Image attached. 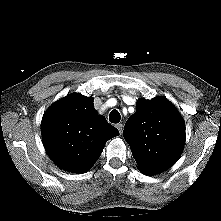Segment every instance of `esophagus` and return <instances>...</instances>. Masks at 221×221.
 I'll return each instance as SVG.
<instances>
[{
  "mask_svg": "<svg viewBox=\"0 0 221 221\" xmlns=\"http://www.w3.org/2000/svg\"><path fill=\"white\" fill-rule=\"evenodd\" d=\"M117 129L119 130L120 134L123 132V124L119 123L116 125Z\"/></svg>",
  "mask_w": 221,
  "mask_h": 221,
  "instance_id": "34e87169",
  "label": "esophagus"
}]
</instances>
